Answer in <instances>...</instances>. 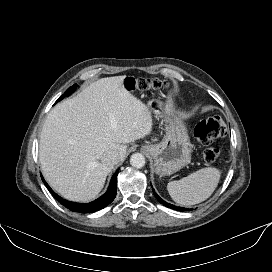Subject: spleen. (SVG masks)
<instances>
[{
    "label": "spleen",
    "mask_w": 272,
    "mask_h": 272,
    "mask_svg": "<svg viewBox=\"0 0 272 272\" xmlns=\"http://www.w3.org/2000/svg\"><path fill=\"white\" fill-rule=\"evenodd\" d=\"M221 172L217 168H202L178 181L167 184L171 198L178 204L190 206L208 199L216 189Z\"/></svg>",
    "instance_id": "obj_1"
}]
</instances>
